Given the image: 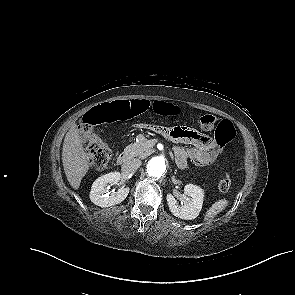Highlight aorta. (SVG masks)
Listing matches in <instances>:
<instances>
[{
  "label": "aorta",
  "mask_w": 295,
  "mask_h": 295,
  "mask_svg": "<svg viewBox=\"0 0 295 295\" xmlns=\"http://www.w3.org/2000/svg\"><path fill=\"white\" fill-rule=\"evenodd\" d=\"M167 163L162 157H153L148 161L147 173L150 177L161 178L167 172Z\"/></svg>",
  "instance_id": "obj_1"
}]
</instances>
